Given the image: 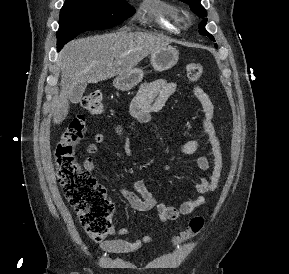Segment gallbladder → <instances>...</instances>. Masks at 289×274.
<instances>
[{
    "label": "gallbladder",
    "instance_id": "1",
    "mask_svg": "<svg viewBox=\"0 0 289 274\" xmlns=\"http://www.w3.org/2000/svg\"><path fill=\"white\" fill-rule=\"evenodd\" d=\"M87 84H78L76 85V87L73 89L71 96H70V100L72 103H78L81 98L82 95L86 89Z\"/></svg>",
    "mask_w": 289,
    "mask_h": 274
}]
</instances>
